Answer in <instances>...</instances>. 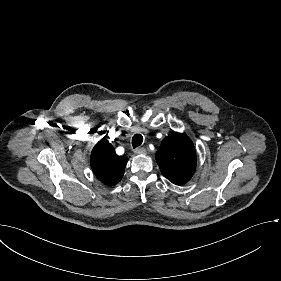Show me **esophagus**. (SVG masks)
Returning <instances> with one entry per match:
<instances>
[{
    "mask_svg": "<svg viewBox=\"0 0 281 281\" xmlns=\"http://www.w3.org/2000/svg\"><path fill=\"white\" fill-rule=\"evenodd\" d=\"M134 152L139 155H146L147 153L146 149L143 147L137 148Z\"/></svg>",
    "mask_w": 281,
    "mask_h": 281,
    "instance_id": "34e87169",
    "label": "esophagus"
}]
</instances>
